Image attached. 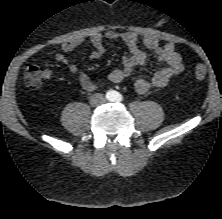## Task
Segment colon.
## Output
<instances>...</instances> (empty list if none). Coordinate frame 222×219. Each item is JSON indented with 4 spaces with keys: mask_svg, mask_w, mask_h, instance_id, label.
Returning a JSON list of instances; mask_svg holds the SVG:
<instances>
[{
    "mask_svg": "<svg viewBox=\"0 0 222 219\" xmlns=\"http://www.w3.org/2000/svg\"><path fill=\"white\" fill-rule=\"evenodd\" d=\"M194 75L197 79H204L207 75V68L198 64L194 67ZM43 79V75L39 67L30 65L26 68L24 80L28 87L37 88Z\"/></svg>",
    "mask_w": 222,
    "mask_h": 219,
    "instance_id": "colon-1",
    "label": "colon"
}]
</instances>
